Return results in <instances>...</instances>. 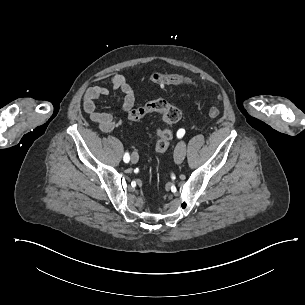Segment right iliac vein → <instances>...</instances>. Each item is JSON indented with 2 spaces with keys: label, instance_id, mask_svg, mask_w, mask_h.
<instances>
[{
  "label": "right iliac vein",
  "instance_id": "right-iliac-vein-1",
  "mask_svg": "<svg viewBox=\"0 0 305 305\" xmlns=\"http://www.w3.org/2000/svg\"><path fill=\"white\" fill-rule=\"evenodd\" d=\"M138 160H139V157H138L137 153L136 152H132V154H131V162L133 164H136L138 162Z\"/></svg>",
  "mask_w": 305,
  "mask_h": 305
}]
</instances>
